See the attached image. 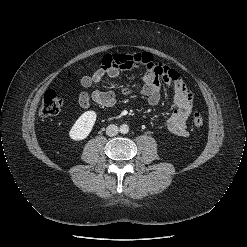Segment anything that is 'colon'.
I'll list each match as a JSON object with an SVG mask.
<instances>
[{
	"instance_id": "colon-1",
	"label": "colon",
	"mask_w": 247,
	"mask_h": 247,
	"mask_svg": "<svg viewBox=\"0 0 247 247\" xmlns=\"http://www.w3.org/2000/svg\"><path fill=\"white\" fill-rule=\"evenodd\" d=\"M63 106V100L55 90L45 92L39 110V115L42 118H49L57 115ZM192 123L195 127L201 128L205 124L204 116L196 111L192 115Z\"/></svg>"
}]
</instances>
